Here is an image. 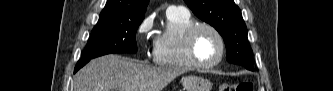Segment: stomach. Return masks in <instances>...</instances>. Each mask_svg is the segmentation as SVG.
I'll return each instance as SVG.
<instances>
[{
	"label": "stomach",
	"mask_w": 333,
	"mask_h": 91,
	"mask_svg": "<svg viewBox=\"0 0 333 91\" xmlns=\"http://www.w3.org/2000/svg\"><path fill=\"white\" fill-rule=\"evenodd\" d=\"M185 91H210L211 82L203 77L186 76L182 78Z\"/></svg>",
	"instance_id": "stomach-1"
}]
</instances>
